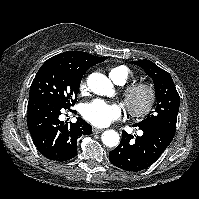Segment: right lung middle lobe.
<instances>
[{
  "label": "right lung middle lobe",
  "mask_w": 199,
  "mask_h": 199,
  "mask_svg": "<svg viewBox=\"0 0 199 199\" xmlns=\"http://www.w3.org/2000/svg\"><path fill=\"white\" fill-rule=\"evenodd\" d=\"M82 76L46 61L31 84L29 98L47 95L63 104L65 108H71L77 101Z\"/></svg>",
  "instance_id": "obj_1"
}]
</instances>
